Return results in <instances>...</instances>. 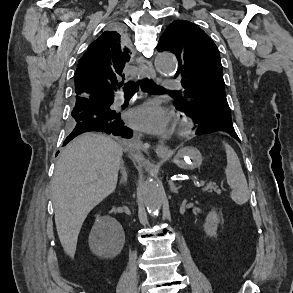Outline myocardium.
Wrapping results in <instances>:
<instances>
[{"label": "myocardium", "mask_w": 293, "mask_h": 293, "mask_svg": "<svg viewBox=\"0 0 293 293\" xmlns=\"http://www.w3.org/2000/svg\"><path fill=\"white\" fill-rule=\"evenodd\" d=\"M178 132L180 134H187L192 129V122L188 119H180L177 122Z\"/></svg>", "instance_id": "1"}]
</instances>
